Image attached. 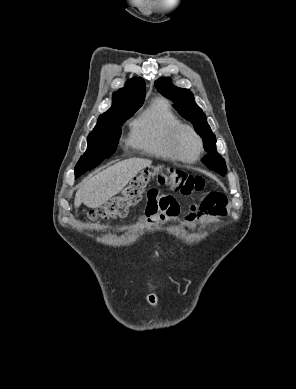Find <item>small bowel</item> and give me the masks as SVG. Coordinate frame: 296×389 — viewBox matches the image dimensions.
I'll list each match as a JSON object with an SVG mask.
<instances>
[{
  "label": "small bowel",
  "mask_w": 296,
  "mask_h": 389,
  "mask_svg": "<svg viewBox=\"0 0 296 389\" xmlns=\"http://www.w3.org/2000/svg\"><path fill=\"white\" fill-rule=\"evenodd\" d=\"M227 199L217 192H208L199 197L198 202L189 206V212L183 219L187 226L208 218L223 216L227 213ZM181 205L171 195H161L156 190L148 192L143 215L137 224L147 223L157 226L161 223L177 222L179 220Z\"/></svg>",
  "instance_id": "small-bowel-1"
}]
</instances>
